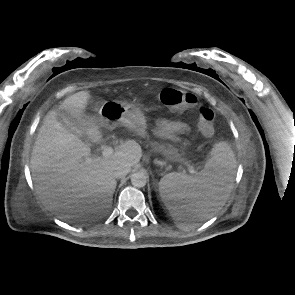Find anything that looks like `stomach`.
I'll use <instances>...</instances> for the list:
<instances>
[{"label":"stomach","instance_id":"1","mask_svg":"<svg viewBox=\"0 0 295 295\" xmlns=\"http://www.w3.org/2000/svg\"><path fill=\"white\" fill-rule=\"evenodd\" d=\"M95 122L108 128L122 125L142 137L148 134L147 118L143 111L126 102L105 101L99 109ZM163 154L170 160H177L180 157L178 150L173 147L163 149Z\"/></svg>","mask_w":295,"mask_h":295}]
</instances>
